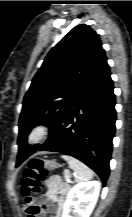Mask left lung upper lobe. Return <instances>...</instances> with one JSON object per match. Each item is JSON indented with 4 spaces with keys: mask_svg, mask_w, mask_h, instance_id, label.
<instances>
[{
    "mask_svg": "<svg viewBox=\"0 0 132 217\" xmlns=\"http://www.w3.org/2000/svg\"><path fill=\"white\" fill-rule=\"evenodd\" d=\"M107 60L99 35L81 24L68 32L47 54L27 91L19 119V137L28 153L27 135L38 124L55 129L74 99Z\"/></svg>",
    "mask_w": 132,
    "mask_h": 217,
    "instance_id": "obj_1",
    "label": "left lung upper lobe"
}]
</instances>
